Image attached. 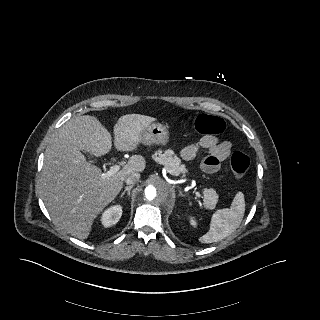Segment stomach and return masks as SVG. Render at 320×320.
<instances>
[{"label": "stomach", "mask_w": 320, "mask_h": 320, "mask_svg": "<svg viewBox=\"0 0 320 320\" xmlns=\"http://www.w3.org/2000/svg\"><path fill=\"white\" fill-rule=\"evenodd\" d=\"M169 141L168 128L160 123L149 124L141 131V142L145 145L158 144L165 146Z\"/></svg>", "instance_id": "0dacf381"}]
</instances>
